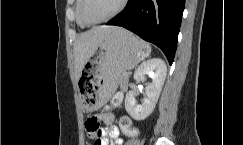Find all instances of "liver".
Wrapping results in <instances>:
<instances>
[{
    "label": "liver",
    "mask_w": 243,
    "mask_h": 145,
    "mask_svg": "<svg viewBox=\"0 0 243 145\" xmlns=\"http://www.w3.org/2000/svg\"><path fill=\"white\" fill-rule=\"evenodd\" d=\"M117 29L119 27L97 26L77 36L73 47L76 80L79 79L84 65L93 56L104 38Z\"/></svg>",
    "instance_id": "1"
}]
</instances>
